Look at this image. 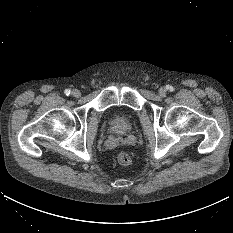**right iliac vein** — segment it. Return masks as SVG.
Listing matches in <instances>:
<instances>
[{"label":"right iliac vein","instance_id":"obj_1","mask_svg":"<svg viewBox=\"0 0 233 233\" xmlns=\"http://www.w3.org/2000/svg\"><path fill=\"white\" fill-rule=\"evenodd\" d=\"M81 95V93H80V91L79 90H77V89H74L73 91H72V96L73 97H79Z\"/></svg>","mask_w":233,"mask_h":233}]
</instances>
